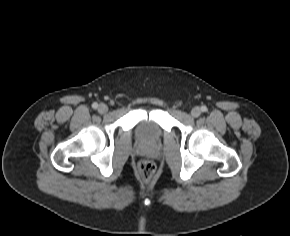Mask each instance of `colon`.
<instances>
[{"mask_svg": "<svg viewBox=\"0 0 290 236\" xmlns=\"http://www.w3.org/2000/svg\"><path fill=\"white\" fill-rule=\"evenodd\" d=\"M156 170L155 164L150 160H141L137 165V174L143 181H149Z\"/></svg>", "mask_w": 290, "mask_h": 236, "instance_id": "colon-1", "label": "colon"}]
</instances>
